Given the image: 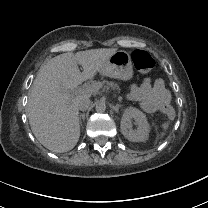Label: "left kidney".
I'll use <instances>...</instances> for the list:
<instances>
[{"label":"left kidney","mask_w":208,"mask_h":208,"mask_svg":"<svg viewBox=\"0 0 208 208\" xmlns=\"http://www.w3.org/2000/svg\"><path fill=\"white\" fill-rule=\"evenodd\" d=\"M134 123V128L132 129ZM121 132L131 142L145 141L148 137V123L145 115L136 108L124 111L121 118Z\"/></svg>","instance_id":"1"}]
</instances>
